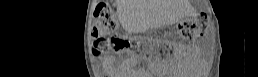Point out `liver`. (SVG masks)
<instances>
[{"instance_id":"6515ba94","label":"liver","mask_w":258,"mask_h":77,"mask_svg":"<svg viewBox=\"0 0 258 77\" xmlns=\"http://www.w3.org/2000/svg\"><path fill=\"white\" fill-rule=\"evenodd\" d=\"M117 11L122 16L128 15V17H123L122 20L125 25L130 21L148 23L154 17L146 6V1L141 0H117Z\"/></svg>"}]
</instances>
